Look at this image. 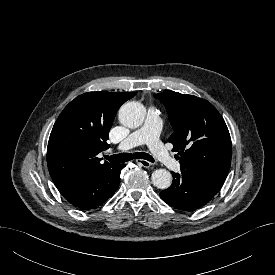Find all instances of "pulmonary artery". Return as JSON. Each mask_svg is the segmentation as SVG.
<instances>
[{
    "label": "pulmonary artery",
    "mask_w": 275,
    "mask_h": 275,
    "mask_svg": "<svg viewBox=\"0 0 275 275\" xmlns=\"http://www.w3.org/2000/svg\"><path fill=\"white\" fill-rule=\"evenodd\" d=\"M160 130V112L155 107L150 106L144 125L129 134L118 147L120 150H128L138 145L146 144L159 162L171 170L179 171L181 165L162 144Z\"/></svg>",
    "instance_id": "e3ab8cb5"
}]
</instances>
